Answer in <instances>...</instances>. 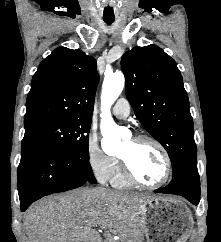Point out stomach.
Listing matches in <instances>:
<instances>
[{"label":"stomach","mask_w":221,"mask_h":242,"mask_svg":"<svg viewBox=\"0 0 221 242\" xmlns=\"http://www.w3.org/2000/svg\"><path fill=\"white\" fill-rule=\"evenodd\" d=\"M146 242H186L193 229L192 213L176 197L155 196L140 205Z\"/></svg>","instance_id":"0dacf381"}]
</instances>
